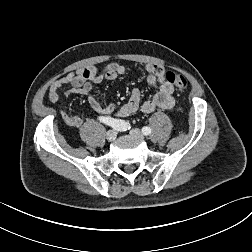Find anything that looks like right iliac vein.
Instances as JSON below:
<instances>
[{
	"mask_svg": "<svg viewBox=\"0 0 252 252\" xmlns=\"http://www.w3.org/2000/svg\"><path fill=\"white\" fill-rule=\"evenodd\" d=\"M117 133L116 131L110 130L106 133V138L108 141L112 142L116 139Z\"/></svg>",
	"mask_w": 252,
	"mask_h": 252,
	"instance_id": "1",
	"label": "right iliac vein"
}]
</instances>
